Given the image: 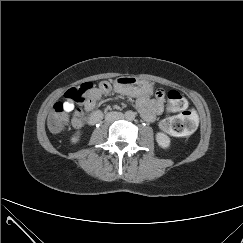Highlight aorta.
Returning <instances> with one entry per match:
<instances>
[{
	"mask_svg": "<svg viewBox=\"0 0 243 243\" xmlns=\"http://www.w3.org/2000/svg\"><path fill=\"white\" fill-rule=\"evenodd\" d=\"M125 118H126L127 120H133V119L135 118V113L132 112V111H127V112L125 113Z\"/></svg>",
	"mask_w": 243,
	"mask_h": 243,
	"instance_id": "1",
	"label": "aorta"
}]
</instances>
